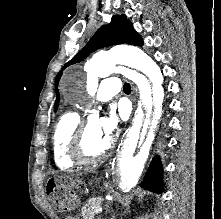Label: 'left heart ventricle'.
Here are the masks:
<instances>
[{
  "label": "left heart ventricle",
  "mask_w": 221,
  "mask_h": 219,
  "mask_svg": "<svg viewBox=\"0 0 221 219\" xmlns=\"http://www.w3.org/2000/svg\"><path fill=\"white\" fill-rule=\"evenodd\" d=\"M110 138L105 136L99 127V121L95 118L88 120L85 135L83 139V153L85 156L92 157L102 153Z\"/></svg>",
  "instance_id": "1"
}]
</instances>
